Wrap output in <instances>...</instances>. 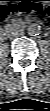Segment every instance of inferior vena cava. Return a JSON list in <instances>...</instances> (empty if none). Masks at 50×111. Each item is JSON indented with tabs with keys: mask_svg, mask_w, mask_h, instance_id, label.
Listing matches in <instances>:
<instances>
[{
	"mask_svg": "<svg viewBox=\"0 0 50 111\" xmlns=\"http://www.w3.org/2000/svg\"><path fill=\"white\" fill-rule=\"evenodd\" d=\"M11 35L14 37L22 36V35H24V30L23 29H17L15 31H13L11 33Z\"/></svg>",
	"mask_w": 50,
	"mask_h": 111,
	"instance_id": "obj_1",
	"label": "inferior vena cava"
}]
</instances>
